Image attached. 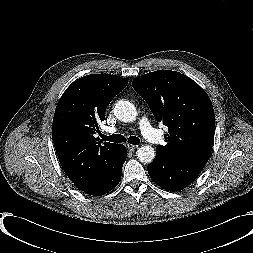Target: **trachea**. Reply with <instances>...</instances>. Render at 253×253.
<instances>
[{
    "mask_svg": "<svg viewBox=\"0 0 253 253\" xmlns=\"http://www.w3.org/2000/svg\"><path fill=\"white\" fill-rule=\"evenodd\" d=\"M101 138L106 141L121 143L127 141V139L120 134H113L110 136L101 135ZM128 142L133 145H139V139L136 136H131L128 138Z\"/></svg>",
    "mask_w": 253,
    "mask_h": 253,
    "instance_id": "1",
    "label": "trachea"
}]
</instances>
